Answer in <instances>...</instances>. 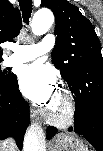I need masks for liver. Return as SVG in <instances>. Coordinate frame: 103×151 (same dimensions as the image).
Instances as JSON below:
<instances>
[{"instance_id":"6515ba94","label":"liver","mask_w":103,"mask_h":151,"mask_svg":"<svg viewBox=\"0 0 103 151\" xmlns=\"http://www.w3.org/2000/svg\"><path fill=\"white\" fill-rule=\"evenodd\" d=\"M5 149H7V151H16V146L15 144H10L7 148H3L2 144H1V150L2 151H6Z\"/></svg>"}]
</instances>
